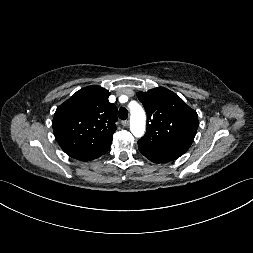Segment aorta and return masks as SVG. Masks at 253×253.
Here are the masks:
<instances>
[{"label": "aorta", "instance_id": "aorta-1", "mask_svg": "<svg viewBox=\"0 0 253 253\" xmlns=\"http://www.w3.org/2000/svg\"><path fill=\"white\" fill-rule=\"evenodd\" d=\"M130 113V131L135 137L140 138L145 132V111L139 104L134 103L130 105Z\"/></svg>", "mask_w": 253, "mask_h": 253}]
</instances>
